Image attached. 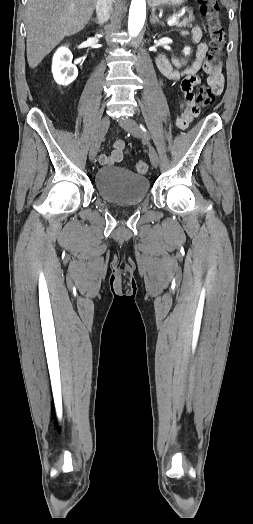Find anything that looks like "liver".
Listing matches in <instances>:
<instances>
[{
  "mask_svg": "<svg viewBox=\"0 0 253 524\" xmlns=\"http://www.w3.org/2000/svg\"><path fill=\"white\" fill-rule=\"evenodd\" d=\"M97 0H28L26 5L27 60L36 68L66 36L89 22Z\"/></svg>",
  "mask_w": 253,
  "mask_h": 524,
  "instance_id": "obj_1",
  "label": "liver"
}]
</instances>
